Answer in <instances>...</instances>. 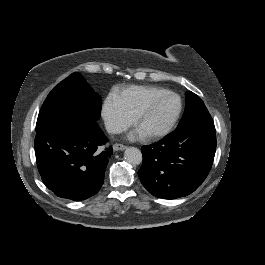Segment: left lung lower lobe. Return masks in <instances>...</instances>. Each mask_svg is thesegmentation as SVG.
Listing matches in <instances>:
<instances>
[{
	"mask_svg": "<svg viewBox=\"0 0 265 265\" xmlns=\"http://www.w3.org/2000/svg\"><path fill=\"white\" fill-rule=\"evenodd\" d=\"M215 150L216 130L211 115L189 120L159 142L142 147L140 180L156 197L187 196L207 177Z\"/></svg>",
	"mask_w": 265,
	"mask_h": 265,
	"instance_id": "0a47b994",
	"label": "left lung lower lobe"
}]
</instances>
